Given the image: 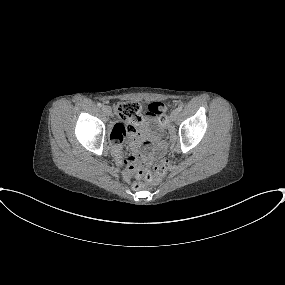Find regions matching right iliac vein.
Returning a JSON list of instances; mask_svg holds the SVG:
<instances>
[{"instance_id": "right-iliac-vein-1", "label": "right iliac vein", "mask_w": 285, "mask_h": 285, "mask_svg": "<svg viewBox=\"0 0 285 285\" xmlns=\"http://www.w3.org/2000/svg\"><path fill=\"white\" fill-rule=\"evenodd\" d=\"M102 111L106 114V115H110V113H111V109H110V107L109 106H103L102 107Z\"/></svg>"}]
</instances>
